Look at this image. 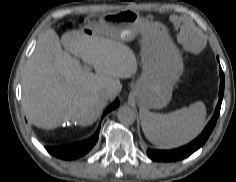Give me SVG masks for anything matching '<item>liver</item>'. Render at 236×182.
I'll use <instances>...</instances> for the list:
<instances>
[{"label":"liver","mask_w":236,"mask_h":182,"mask_svg":"<svg viewBox=\"0 0 236 182\" xmlns=\"http://www.w3.org/2000/svg\"><path fill=\"white\" fill-rule=\"evenodd\" d=\"M105 26L100 24L91 35L75 30L60 40L49 29L39 37L22 76V108L32 124L44 129H54L62 122L91 125L107 102L100 92L110 90L113 99L122 88L119 78L137 72L133 51L101 36L99 29ZM70 53L90 64L97 74L83 69Z\"/></svg>","instance_id":"obj_1"}]
</instances>
